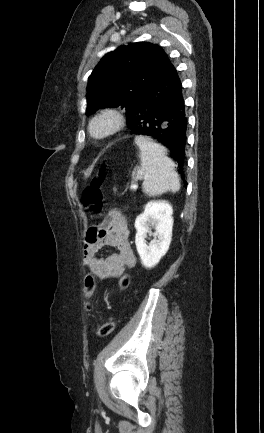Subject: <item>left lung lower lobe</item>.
<instances>
[{"mask_svg":"<svg viewBox=\"0 0 264 433\" xmlns=\"http://www.w3.org/2000/svg\"><path fill=\"white\" fill-rule=\"evenodd\" d=\"M127 125L132 134L149 136L167 147L183 178L187 118L182 84L170 61L138 95L127 113Z\"/></svg>","mask_w":264,"mask_h":433,"instance_id":"obj_1","label":"left lung lower lobe"}]
</instances>
